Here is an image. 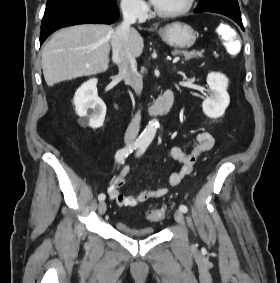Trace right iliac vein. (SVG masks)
I'll use <instances>...</instances> for the list:
<instances>
[{
  "label": "right iliac vein",
  "mask_w": 280,
  "mask_h": 283,
  "mask_svg": "<svg viewBox=\"0 0 280 283\" xmlns=\"http://www.w3.org/2000/svg\"><path fill=\"white\" fill-rule=\"evenodd\" d=\"M106 209H107V205L104 201H101L99 204H98V211L101 215H103L105 212H106Z\"/></svg>",
  "instance_id": "obj_1"
}]
</instances>
